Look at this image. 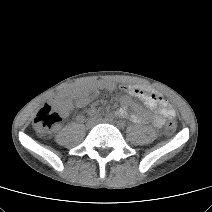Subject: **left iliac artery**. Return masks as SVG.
<instances>
[{
  "mask_svg": "<svg viewBox=\"0 0 212 212\" xmlns=\"http://www.w3.org/2000/svg\"><path fill=\"white\" fill-rule=\"evenodd\" d=\"M118 125L121 127V128H124L125 127V123L123 121H119L118 122Z\"/></svg>",
  "mask_w": 212,
  "mask_h": 212,
  "instance_id": "obj_1",
  "label": "left iliac artery"
}]
</instances>
